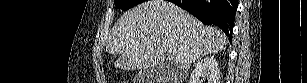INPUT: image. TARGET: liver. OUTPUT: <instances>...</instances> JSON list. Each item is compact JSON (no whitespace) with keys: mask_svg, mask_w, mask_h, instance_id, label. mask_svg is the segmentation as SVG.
<instances>
[{"mask_svg":"<svg viewBox=\"0 0 307 83\" xmlns=\"http://www.w3.org/2000/svg\"><path fill=\"white\" fill-rule=\"evenodd\" d=\"M226 35L203 25L173 3L149 0L125 12L111 29L110 55L121 54L115 66L124 70L162 69L166 53L175 49V67L187 70L203 56L225 49ZM163 77L158 83H166Z\"/></svg>","mask_w":307,"mask_h":83,"instance_id":"6515ba94","label":"liver"}]
</instances>
